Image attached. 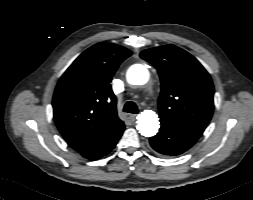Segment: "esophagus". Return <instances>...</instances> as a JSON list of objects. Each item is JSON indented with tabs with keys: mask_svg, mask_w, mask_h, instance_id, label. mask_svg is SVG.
Returning a JSON list of instances; mask_svg holds the SVG:
<instances>
[{
	"mask_svg": "<svg viewBox=\"0 0 253 200\" xmlns=\"http://www.w3.org/2000/svg\"><path fill=\"white\" fill-rule=\"evenodd\" d=\"M130 119L132 120V121H134L136 118H137V115L136 114H130Z\"/></svg>",
	"mask_w": 253,
	"mask_h": 200,
	"instance_id": "1",
	"label": "esophagus"
}]
</instances>
